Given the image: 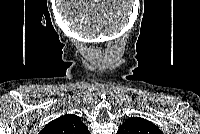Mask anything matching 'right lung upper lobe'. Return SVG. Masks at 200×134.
I'll list each match as a JSON object with an SVG mask.
<instances>
[{"label": "right lung upper lobe", "mask_w": 200, "mask_h": 134, "mask_svg": "<svg viewBox=\"0 0 200 134\" xmlns=\"http://www.w3.org/2000/svg\"><path fill=\"white\" fill-rule=\"evenodd\" d=\"M89 131L81 118L74 114L63 115L48 123L43 134H87Z\"/></svg>", "instance_id": "right-lung-upper-lobe-1"}]
</instances>
